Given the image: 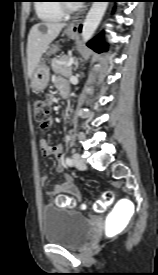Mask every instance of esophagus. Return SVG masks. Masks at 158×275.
Listing matches in <instances>:
<instances>
[{"label": "esophagus", "mask_w": 158, "mask_h": 275, "mask_svg": "<svg viewBox=\"0 0 158 275\" xmlns=\"http://www.w3.org/2000/svg\"><path fill=\"white\" fill-rule=\"evenodd\" d=\"M87 10V7H85L84 9H82L77 15L76 17L69 23L68 25V29L72 30V31H78L79 25H80V21L83 18L85 12Z\"/></svg>", "instance_id": "1"}]
</instances>
